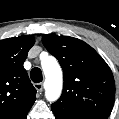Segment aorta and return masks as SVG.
<instances>
[{"instance_id": "obj_1", "label": "aorta", "mask_w": 119, "mask_h": 119, "mask_svg": "<svg viewBox=\"0 0 119 119\" xmlns=\"http://www.w3.org/2000/svg\"><path fill=\"white\" fill-rule=\"evenodd\" d=\"M41 66L46 78L44 82L46 99L50 102L56 101L60 97L63 86L62 70L52 56L43 59Z\"/></svg>"}]
</instances>
